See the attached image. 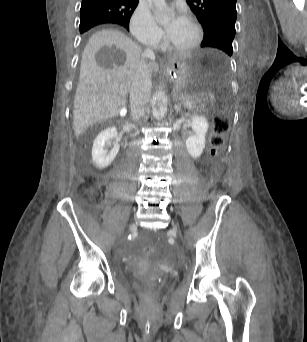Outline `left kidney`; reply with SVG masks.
Instances as JSON below:
<instances>
[{
	"label": "left kidney",
	"instance_id": "obj_1",
	"mask_svg": "<svg viewBox=\"0 0 307 342\" xmlns=\"http://www.w3.org/2000/svg\"><path fill=\"white\" fill-rule=\"evenodd\" d=\"M185 116L191 118V128L195 132L194 136H190L185 142L187 152L191 158H200L205 148V136L208 132L209 124L204 116H190V114H185Z\"/></svg>",
	"mask_w": 307,
	"mask_h": 342
}]
</instances>
